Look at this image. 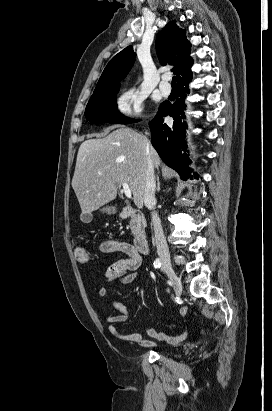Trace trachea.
<instances>
[{
	"instance_id": "3493384b",
	"label": "trachea",
	"mask_w": 272,
	"mask_h": 411,
	"mask_svg": "<svg viewBox=\"0 0 272 411\" xmlns=\"http://www.w3.org/2000/svg\"><path fill=\"white\" fill-rule=\"evenodd\" d=\"M172 86H176V77L175 76L172 78Z\"/></svg>"
}]
</instances>
